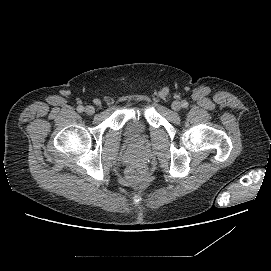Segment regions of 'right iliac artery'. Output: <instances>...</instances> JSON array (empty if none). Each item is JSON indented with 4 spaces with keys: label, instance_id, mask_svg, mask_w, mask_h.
I'll use <instances>...</instances> for the list:
<instances>
[{
    "label": "right iliac artery",
    "instance_id": "82829eb1",
    "mask_svg": "<svg viewBox=\"0 0 271 271\" xmlns=\"http://www.w3.org/2000/svg\"><path fill=\"white\" fill-rule=\"evenodd\" d=\"M77 111L80 112V113L83 112L84 111V107L83 106H78L77 107Z\"/></svg>",
    "mask_w": 271,
    "mask_h": 271
}]
</instances>
